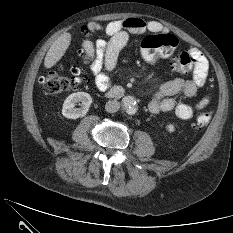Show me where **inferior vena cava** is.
<instances>
[{
	"label": "inferior vena cava",
	"mask_w": 233,
	"mask_h": 233,
	"mask_svg": "<svg viewBox=\"0 0 233 233\" xmlns=\"http://www.w3.org/2000/svg\"><path fill=\"white\" fill-rule=\"evenodd\" d=\"M120 103L116 100H109L105 105V110L108 113H115L119 110Z\"/></svg>",
	"instance_id": "inferior-vena-cava-1"
}]
</instances>
